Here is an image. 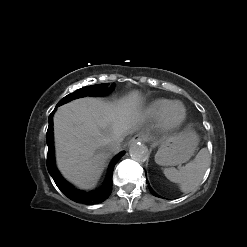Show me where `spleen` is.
Masks as SVG:
<instances>
[{"label": "spleen", "mask_w": 247, "mask_h": 247, "mask_svg": "<svg viewBox=\"0 0 247 247\" xmlns=\"http://www.w3.org/2000/svg\"><path fill=\"white\" fill-rule=\"evenodd\" d=\"M157 155L158 153L156 156ZM210 163L211 158L208 150L202 148L194 160L187 163L180 170H177L176 168H165L163 173L168 180L179 184L180 190L186 193L192 191L200 184Z\"/></svg>", "instance_id": "obj_1"}]
</instances>
